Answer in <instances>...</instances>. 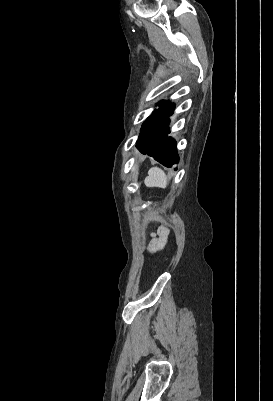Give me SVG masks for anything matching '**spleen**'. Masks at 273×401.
<instances>
[{
    "instance_id": "obj_1",
    "label": "spleen",
    "mask_w": 273,
    "mask_h": 401,
    "mask_svg": "<svg viewBox=\"0 0 273 401\" xmlns=\"http://www.w3.org/2000/svg\"><path fill=\"white\" fill-rule=\"evenodd\" d=\"M149 176H146L144 182L146 186H161V188H165L167 184V176L162 170V168H158V166H153L148 170Z\"/></svg>"
}]
</instances>
